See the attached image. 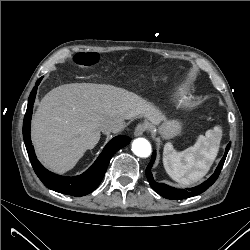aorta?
I'll use <instances>...</instances> for the list:
<instances>
[{
    "mask_svg": "<svg viewBox=\"0 0 250 250\" xmlns=\"http://www.w3.org/2000/svg\"><path fill=\"white\" fill-rule=\"evenodd\" d=\"M132 151L139 157L146 158L151 154V145L144 138H137L132 143Z\"/></svg>",
    "mask_w": 250,
    "mask_h": 250,
    "instance_id": "aorta-1",
    "label": "aorta"
}]
</instances>
